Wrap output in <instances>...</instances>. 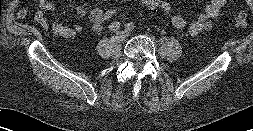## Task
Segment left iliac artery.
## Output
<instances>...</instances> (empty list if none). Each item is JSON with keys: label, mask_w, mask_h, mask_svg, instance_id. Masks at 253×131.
<instances>
[{"label": "left iliac artery", "mask_w": 253, "mask_h": 131, "mask_svg": "<svg viewBox=\"0 0 253 131\" xmlns=\"http://www.w3.org/2000/svg\"><path fill=\"white\" fill-rule=\"evenodd\" d=\"M134 23H132V22H130V23H127L126 25H125V29L127 30V31H133L134 30Z\"/></svg>", "instance_id": "44dca946"}]
</instances>
